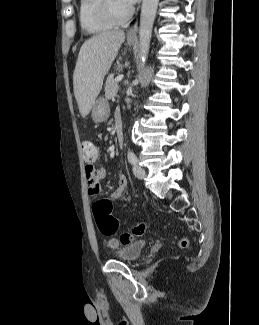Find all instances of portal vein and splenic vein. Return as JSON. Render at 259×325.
I'll return each instance as SVG.
<instances>
[{"instance_id": "portal-vein-and-splenic-vein-1", "label": "portal vein and splenic vein", "mask_w": 259, "mask_h": 325, "mask_svg": "<svg viewBox=\"0 0 259 325\" xmlns=\"http://www.w3.org/2000/svg\"><path fill=\"white\" fill-rule=\"evenodd\" d=\"M123 75L121 74V75H118L116 78H115V81L116 82H119V81H121L122 79H123Z\"/></svg>"}]
</instances>
